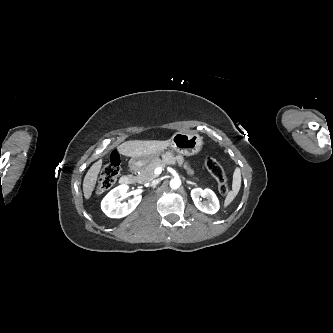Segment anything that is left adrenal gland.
<instances>
[{"label":"left adrenal gland","instance_id":"a2214340","mask_svg":"<svg viewBox=\"0 0 333 333\" xmlns=\"http://www.w3.org/2000/svg\"><path fill=\"white\" fill-rule=\"evenodd\" d=\"M187 182V184H191V185H196V183H194V182H192V181H186Z\"/></svg>","mask_w":333,"mask_h":333}]
</instances>
